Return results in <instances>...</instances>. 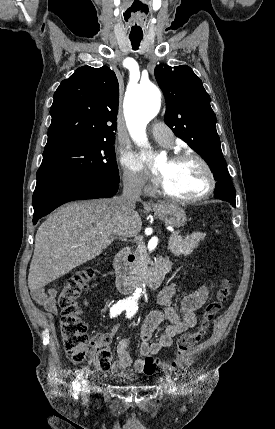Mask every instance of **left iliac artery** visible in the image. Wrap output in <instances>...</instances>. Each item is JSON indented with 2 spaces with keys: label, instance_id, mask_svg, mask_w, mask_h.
Segmentation results:
<instances>
[{
  "label": "left iliac artery",
  "instance_id": "1",
  "mask_svg": "<svg viewBox=\"0 0 275 429\" xmlns=\"http://www.w3.org/2000/svg\"><path fill=\"white\" fill-rule=\"evenodd\" d=\"M136 312V309L134 307H127L126 308V315L128 318H131Z\"/></svg>",
  "mask_w": 275,
  "mask_h": 429
}]
</instances>
